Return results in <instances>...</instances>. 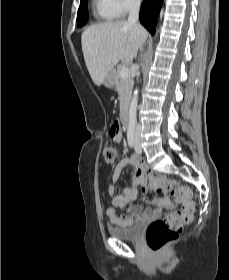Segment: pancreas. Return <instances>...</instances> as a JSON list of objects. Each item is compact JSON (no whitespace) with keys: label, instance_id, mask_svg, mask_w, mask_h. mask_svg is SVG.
Masks as SVG:
<instances>
[{"label":"pancreas","instance_id":"obj_1","mask_svg":"<svg viewBox=\"0 0 229 280\" xmlns=\"http://www.w3.org/2000/svg\"><path fill=\"white\" fill-rule=\"evenodd\" d=\"M121 66H118L115 71V87L117 89V92L119 94V100H120V113H122L131 96L132 88H133V79L131 76H127L126 78H122L120 76V70Z\"/></svg>","mask_w":229,"mask_h":280}]
</instances>
